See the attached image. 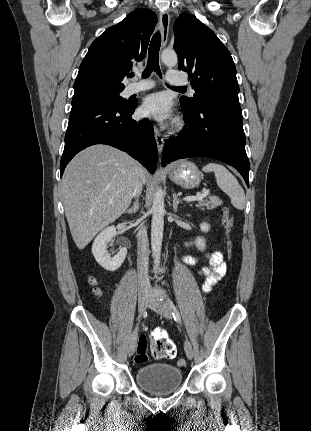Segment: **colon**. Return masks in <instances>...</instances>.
Masks as SVG:
<instances>
[{
    "label": "colon",
    "instance_id": "1",
    "mask_svg": "<svg viewBox=\"0 0 311 431\" xmlns=\"http://www.w3.org/2000/svg\"><path fill=\"white\" fill-rule=\"evenodd\" d=\"M222 223L226 233L229 235L233 227V218L228 208H224L222 211ZM227 248L229 256H231L233 251V244L231 240H228ZM91 284L95 285L94 279H91ZM95 293L99 294V290L97 288H95ZM151 351L153 356L157 359H170L175 356L176 348L174 343L170 339L165 336L159 335L152 339ZM134 360L138 364H143L148 360V342L147 338L144 335H141L138 339L137 353ZM178 365L185 366V359H179Z\"/></svg>",
    "mask_w": 311,
    "mask_h": 431
}]
</instances>
